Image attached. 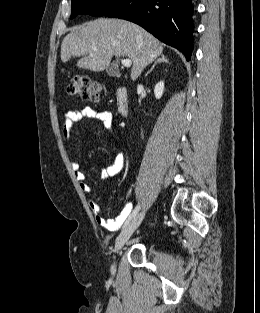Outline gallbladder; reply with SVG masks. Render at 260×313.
Returning a JSON list of instances; mask_svg holds the SVG:
<instances>
[{
  "mask_svg": "<svg viewBox=\"0 0 260 313\" xmlns=\"http://www.w3.org/2000/svg\"><path fill=\"white\" fill-rule=\"evenodd\" d=\"M106 72L109 76L115 77L118 75V69L114 66L111 65L106 69Z\"/></svg>",
  "mask_w": 260,
  "mask_h": 313,
  "instance_id": "1",
  "label": "gallbladder"
}]
</instances>
